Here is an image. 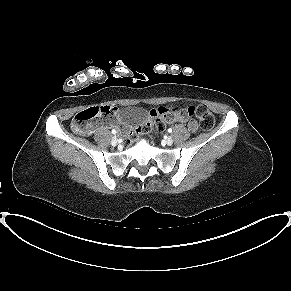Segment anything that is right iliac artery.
Segmentation results:
<instances>
[{"instance_id": "1", "label": "right iliac artery", "mask_w": 291, "mask_h": 291, "mask_svg": "<svg viewBox=\"0 0 291 291\" xmlns=\"http://www.w3.org/2000/svg\"><path fill=\"white\" fill-rule=\"evenodd\" d=\"M112 133L115 134L116 133V130H112Z\"/></svg>"}]
</instances>
